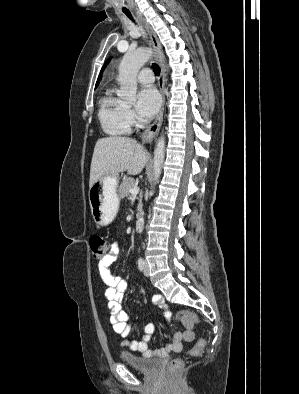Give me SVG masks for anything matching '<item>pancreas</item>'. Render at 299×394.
I'll return each mask as SVG.
<instances>
[{
    "label": "pancreas",
    "instance_id": "cf45deb5",
    "mask_svg": "<svg viewBox=\"0 0 299 394\" xmlns=\"http://www.w3.org/2000/svg\"><path fill=\"white\" fill-rule=\"evenodd\" d=\"M136 184L137 183L133 178H131V177L125 178L122 181V183L119 187V190H118L119 197L124 198V197L128 196L130 193V189L135 187ZM141 211H142V195H140L139 203H138V212L140 213Z\"/></svg>",
    "mask_w": 299,
    "mask_h": 394
}]
</instances>
